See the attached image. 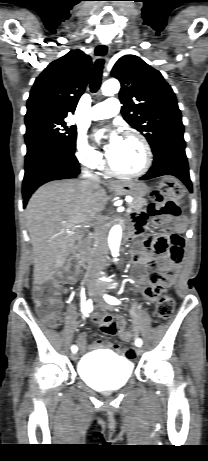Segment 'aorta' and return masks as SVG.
<instances>
[{
	"mask_svg": "<svg viewBox=\"0 0 208 461\" xmlns=\"http://www.w3.org/2000/svg\"><path fill=\"white\" fill-rule=\"evenodd\" d=\"M102 94L105 96H113L120 90V83L116 79H109L105 81L101 87ZM122 236V228L120 225H114L109 233L108 244L112 256L117 258L119 256V248Z\"/></svg>",
	"mask_w": 208,
	"mask_h": 461,
	"instance_id": "obj_1",
	"label": "aorta"
}]
</instances>
